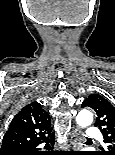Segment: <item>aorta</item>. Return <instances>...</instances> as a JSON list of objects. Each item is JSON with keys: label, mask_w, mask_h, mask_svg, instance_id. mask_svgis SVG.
I'll return each mask as SVG.
<instances>
[{"label": "aorta", "mask_w": 115, "mask_h": 155, "mask_svg": "<svg viewBox=\"0 0 115 155\" xmlns=\"http://www.w3.org/2000/svg\"><path fill=\"white\" fill-rule=\"evenodd\" d=\"M76 121L80 127L85 128L93 122V114L90 110L83 109L78 113Z\"/></svg>", "instance_id": "1"}]
</instances>
